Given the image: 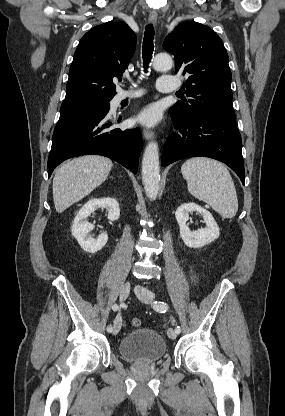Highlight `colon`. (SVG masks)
I'll return each instance as SVG.
<instances>
[{
	"mask_svg": "<svg viewBox=\"0 0 285 416\" xmlns=\"http://www.w3.org/2000/svg\"><path fill=\"white\" fill-rule=\"evenodd\" d=\"M130 323L132 327H139L141 324V321L138 318H133Z\"/></svg>",
	"mask_w": 285,
	"mask_h": 416,
	"instance_id": "obj_1",
	"label": "colon"
}]
</instances>
